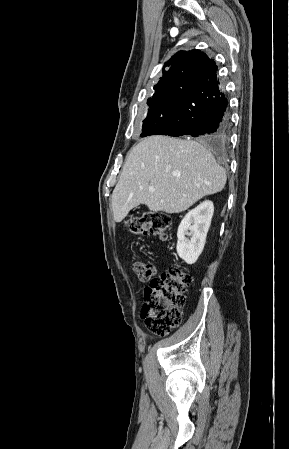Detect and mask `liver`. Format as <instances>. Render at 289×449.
I'll list each match as a JSON object with an SVG mask.
<instances>
[{
	"instance_id": "1",
	"label": "liver",
	"mask_w": 289,
	"mask_h": 449,
	"mask_svg": "<svg viewBox=\"0 0 289 449\" xmlns=\"http://www.w3.org/2000/svg\"><path fill=\"white\" fill-rule=\"evenodd\" d=\"M226 179L225 169L199 142L147 137L127 156L113 190L114 220L121 222L140 204L153 212L180 213L204 196L222 191Z\"/></svg>"
}]
</instances>
